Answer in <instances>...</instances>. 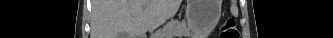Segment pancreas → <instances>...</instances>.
Here are the masks:
<instances>
[{"label":"pancreas","instance_id":"obj_1","mask_svg":"<svg viewBox=\"0 0 333 38\" xmlns=\"http://www.w3.org/2000/svg\"><path fill=\"white\" fill-rule=\"evenodd\" d=\"M172 32L174 35H180L187 32L185 24L167 26L163 31L157 33V35H163L164 33Z\"/></svg>","mask_w":333,"mask_h":38}]
</instances>
